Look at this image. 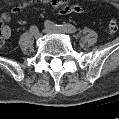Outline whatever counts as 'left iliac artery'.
<instances>
[{
	"label": "left iliac artery",
	"mask_w": 119,
	"mask_h": 119,
	"mask_svg": "<svg viewBox=\"0 0 119 119\" xmlns=\"http://www.w3.org/2000/svg\"><path fill=\"white\" fill-rule=\"evenodd\" d=\"M45 27H49V28H53V29H57V30H62L66 33H75L77 31L76 27L73 26L72 24H62V25H58L53 23L50 20H46L45 21Z\"/></svg>",
	"instance_id": "left-iliac-artery-1"
}]
</instances>
